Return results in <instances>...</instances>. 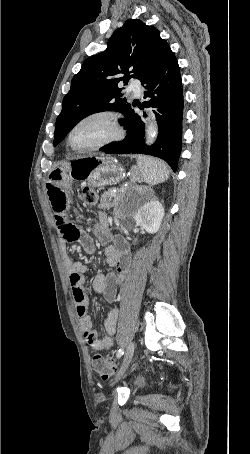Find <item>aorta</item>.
<instances>
[{
    "label": "aorta",
    "mask_w": 250,
    "mask_h": 454,
    "mask_svg": "<svg viewBox=\"0 0 250 454\" xmlns=\"http://www.w3.org/2000/svg\"><path fill=\"white\" fill-rule=\"evenodd\" d=\"M158 135V126L155 121H149L146 126V144L151 145L155 142Z\"/></svg>",
    "instance_id": "1"
}]
</instances>
